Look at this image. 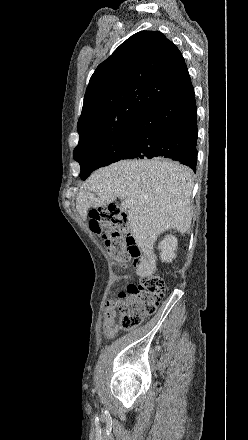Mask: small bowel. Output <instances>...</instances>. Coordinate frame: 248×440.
Wrapping results in <instances>:
<instances>
[{
	"label": "small bowel",
	"instance_id": "c3829d8e",
	"mask_svg": "<svg viewBox=\"0 0 248 440\" xmlns=\"http://www.w3.org/2000/svg\"><path fill=\"white\" fill-rule=\"evenodd\" d=\"M116 315V307L112 301H110L107 303L103 321V331L107 337L113 336L118 331Z\"/></svg>",
	"mask_w": 248,
	"mask_h": 440
}]
</instances>
